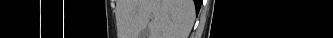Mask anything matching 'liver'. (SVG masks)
Here are the masks:
<instances>
[{
    "instance_id": "6515ba94",
    "label": "liver",
    "mask_w": 333,
    "mask_h": 38,
    "mask_svg": "<svg viewBox=\"0 0 333 38\" xmlns=\"http://www.w3.org/2000/svg\"><path fill=\"white\" fill-rule=\"evenodd\" d=\"M137 34L148 28L149 38H187L192 28V0H138Z\"/></svg>"
}]
</instances>
